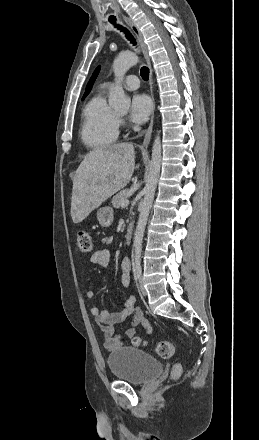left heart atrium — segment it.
<instances>
[{"label":"left heart atrium","instance_id":"obj_1","mask_svg":"<svg viewBox=\"0 0 259 440\" xmlns=\"http://www.w3.org/2000/svg\"><path fill=\"white\" fill-rule=\"evenodd\" d=\"M153 108L150 97L146 94H135L131 99L130 120L137 124L147 121Z\"/></svg>","mask_w":259,"mask_h":440}]
</instances>
